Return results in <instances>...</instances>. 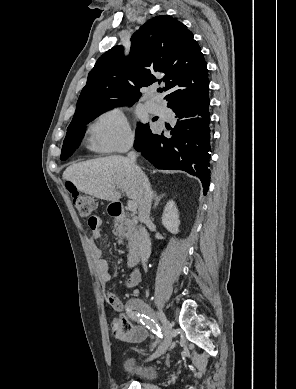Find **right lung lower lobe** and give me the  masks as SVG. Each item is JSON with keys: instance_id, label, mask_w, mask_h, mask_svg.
<instances>
[{"instance_id": "right-lung-lower-lobe-1", "label": "right lung lower lobe", "mask_w": 296, "mask_h": 389, "mask_svg": "<svg viewBox=\"0 0 296 389\" xmlns=\"http://www.w3.org/2000/svg\"><path fill=\"white\" fill-rule=\"evenodd\" d=\"M209 87L190 97L172 103L177 118L171 137L151 133L140 147L135 148L158 169L184 170L197 176L204 194L210 185V113Z\"/></svg>"}]
</instances>
